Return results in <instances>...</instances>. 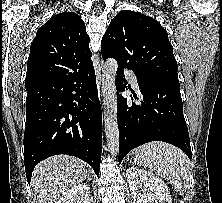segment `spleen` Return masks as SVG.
Here are the masks:
<instances>
[{
	"label": "spleen",
	"instance_id": "1",
	"mask_svg": "<svg viewBox=\"0 0 222 203\" xmlns=\"http://www.w3.org/2000/svg\"><path fill=\"white\" fill-rule=\"evenodd\" d=\"M137 164L167 179L179 194H184L191 176L190 161L179 148L166 142L153 141L135 150Z\"/></svg>",
	"mask_w": 222,
	"mask_h": 203
}]
</instances>
